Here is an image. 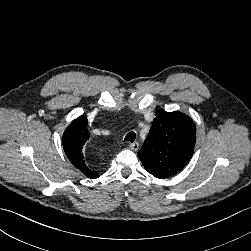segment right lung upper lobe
I'll return each mask as SVG.
<instances>
[{"label": "right lung upper lobe", "mask_w": 251, "mask_h": 251, "mask_svg": "<svg viewBox=\"0 0 251 251\" xmlns=\"http://www.w3.org/2000/svg\"><path fill=\"white\" fill-rule=\"evenodd\" d=\"M90 134L87 130V118L82 115L73 120L63 135L64 151L70 162L83 174L91 179L99 177L94 170L88 167L82 149Z\"/></svg>", "instance_id": "obj_1"}]
</instances>
